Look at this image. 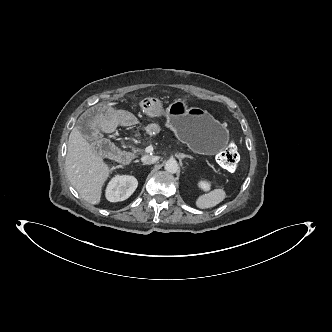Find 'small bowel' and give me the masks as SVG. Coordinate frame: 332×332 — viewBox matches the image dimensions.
I'll use <instances>...</instances> for the list:
<instances>
[{
	"label": "small bowel",
	"instance_id": "c3829d8e",
	"mask_svg": "<svg viewBox=\"0 0 332 332\" xmlns=\"http://www.w3.org/2000/svg\"><path fill=\"white\" fill-rule=\"evenodd\" d=\"M139 108L143 112H147L151 118H156L162 115L163 107L158 100L153 98H145L140 101ZM113 108L110 103L101 101L94 103L90 109L82 112L74 121V126L77 131L81 132L84 141L93 143L98 141L103 134V129L100 123L105 122L104 129L112 131L116 128V122L111 119ZM113 117L124 126H134L137 123V118L134 115L125 113L124 111L115 112Z\"/></svg>",
	"mask_w": 332,
	"mask_h": 332
}]
</instances>
